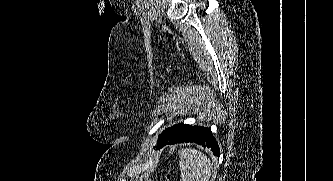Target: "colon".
Returning a JSON list of instances; mask_svg holds the SVG:
<instances>
[{"instance_id": "1", "label": "colon", "mask_w": 333, "mask_h": 181, "mask_svg": "<svg viewBox=\"0 0 333 181\" xmlns=\"http://www.w3.org/2000/svg\"><path fill=\"white\" fill-rule=\"evenodd\" d=\"M170 178H171L170 175H168V176H167V179L170 180Z\"/></svg>"}]
</instances>
